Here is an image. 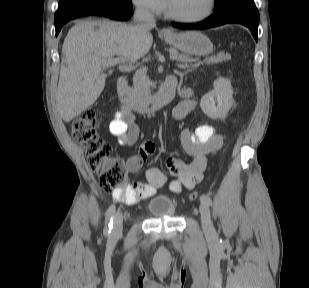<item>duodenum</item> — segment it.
<instances>
[{"label":"duodenum","mask_w":309,"mask_h":288,"mask_svg":"<svg viewBox=\"0 0 309 288\" xmlns=\"http://www.w3.org/2000/svg\"><path fill=\"white\" fill-rule=\"evenodd\" d=\"M176 83L166 81L159 91L144 99H138L128 85L126 78L117 81V92L122 105L138 113H149L167 105L174 97Z\"/></svg>","instance_id":"duodenum-1"}]
</instances>
